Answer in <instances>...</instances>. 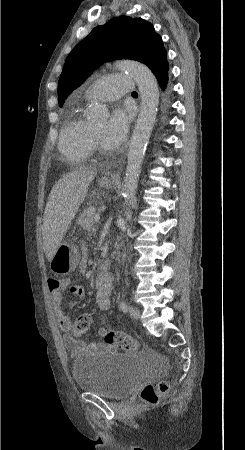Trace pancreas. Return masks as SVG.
Returning a JSON list of instances; mask_svg holds the SVG:
<instances>
[{
    "mask_svg": "<svg viewBox=\"0 0 245 450\" xmlns=\"http://www.w3.org/2000/svg\"><path fill=\"white\" fill-rule=\"evenodd\" d=\"M95 213H96L95 207L88 206L79 216L77 221L78 225L85 230H90L94 225Z\"/></svg>",
    "mask_w": 245,
    "mask_h": 450,
    "instance_id": "1",
    "label": "pancreas"
}]
</instances>
